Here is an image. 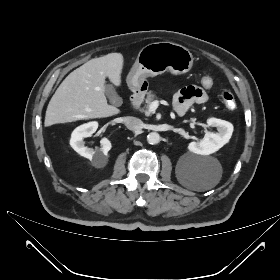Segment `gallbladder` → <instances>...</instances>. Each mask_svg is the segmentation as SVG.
<instances>
[{
  "instance_id": "bac80fb5",
  "label": "gallbladder",
  "mask_w": 280,
  "mask_h": 280,
  "mask_svg": "<svg viewBox=\"0 0 280 280\" xmlns=\"http://www.w3.org/2000/svg\"><path fill=\"white\" fill-rule=\"evenodd\" d=\"M105 94L108 97L110 103L116 106L121 105L122 99L111 84L105 85Z\"/></svg>"
}]
</instances>
